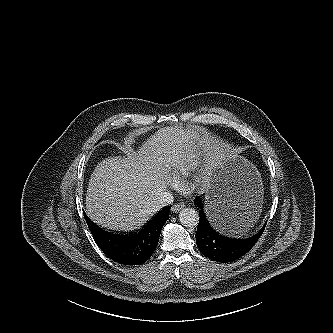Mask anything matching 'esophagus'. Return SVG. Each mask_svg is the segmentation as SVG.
<instances>
[{
    "label": "esophagus",
    "mask_w": 333,
    "mask_h": 333,
    "mask_svg": "<svg viewBox=\"0 0 333 333\" xmlns=\"http://www.w3.org/2000/svg\"><path fill=\"white\" fill-rule=\"evenodd\" d=\"M184 206L185 205L183 203H178V204L173 205L171 207V210H172V212L177 213V212L181 211L184 208Z\"/></svg>",
    "instance_id": "1"
}]
</instances>
